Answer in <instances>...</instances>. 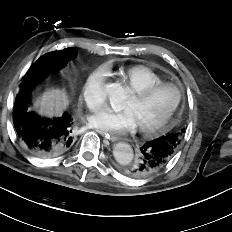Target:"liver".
I'll return each instance as SVG.
<instances>
[{"instance_id": "obj_1", "label": "liver", "mask_w": 232, "mask_h": 232, "mask_svg": "<svg viewBox=\"0 0 232 232\" xmlns=\"http://www.w3.org/2000/svg\"><path fill=\"white\" fill-rule=\"evenodd\" d=\"M69 101L63 90L52 89L45 92L36 102V107L39 108L40 114H45L49 117L61 116L63 110L67 107Z\"/></svg>"}]
</instances>
